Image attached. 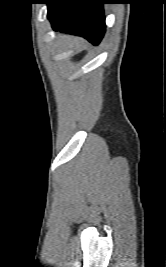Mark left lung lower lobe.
<instances>
[{"label":"left lung lower lobe","mask_w":166,"mask_h":267,"mask_svg":"<svg viewBox=\"0 0 166 267\" xmlns=\"http://www.w3.org/2000/svg\"><path fill=\"white\" fill-rule=\"evenodd\" d=\"M53 30L82 36L98 45L105 32V0H46Z\"/></svg>","instance_id":"left-lung-lower-lobe-1"}]
</instances>
